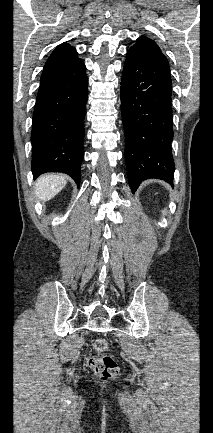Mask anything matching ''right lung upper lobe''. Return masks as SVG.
<instances>
[{
  "instance_id": "1",
  "label": "right lung upper lobe",
  "mask_w": 213,
  "mask_h": 433,
  "mask_svg": "<svg viewBox=\"0 0 213 433\" xmlns=\"http://www.w3.org/2000/svg\"><path fill=\"white\" fill-rule=\"evenodd\" d=\"M75 58H77L76 49L71 47L68 43H62L51 53L45 65L55 61L70 60Z\"/></svg>"
}]
</instances>
